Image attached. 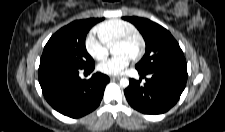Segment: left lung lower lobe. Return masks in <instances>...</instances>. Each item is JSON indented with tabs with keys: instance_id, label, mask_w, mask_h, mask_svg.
I'll use <instances>...</instances> for the list:
<instances>
[{
	"instance_id": "left-lung-lower-lobe-1",
	"label": "left lung lower lobe",
	"mask_w": 225,
	"mask_h": 132,
	"mask_svg": "<svg viewBox=\"0 0 225 132\" xmlns=\"http://www.w3.org/2000/svg\"><path fill=\"white\" fill-rule=\"evenodd\" d=\"M140 77L150 74L144 85L130 79L124 94L131 107L150 115L168 111L179 100L187 81V67H159L149 72L139 71Z\"/></svg>"
}]
</instances>
